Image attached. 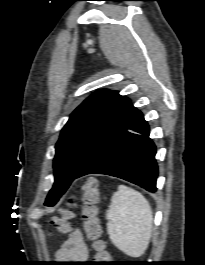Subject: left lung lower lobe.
Segmentation results:
<instances>
[{"mask_svg":"<svg viewBox=\"0 0 205 265\" xmlns=\"http://www.w3.org/2000/svg\"><path fill=\"white\" fill-rule=\"evenodd\" d=\"M148 136L149 126L137 110L124 128L85 164L75 179L87 174H106L155 192L158 175L156 147Z\"/></svg>","mask_w":205,"mask_h":265,"instance_id":"left-lung-lower-lobe-1","label":"left lung lower lobe"}]
</instances>
